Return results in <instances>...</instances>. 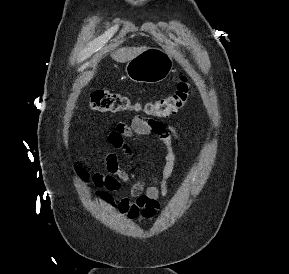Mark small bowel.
Here are the masks:
<instances>
[{
    "label": "small bowel",
    "instance_id": "small-bowel-1",
    "mask_svg": "<svg viewBox=\"0 0 289 274\" xmlns=\"http://www.w3.org/2000/svg\"><path fill=\"white\" fill-rule=\"evenodd\" d=\"M178 129L162 122L135 116L130 123L118 122L116 128L108 133V143L127 156L132 157L133 148L129 140L136 141L140 136H155L165 146L164 165L159 177L154 178L150 184L136 181L124 190L123 197L119 200V213L129 219L142 221L151 219L160 208L159 199L168 194L167 181L171 177L176 163L173 145L181 148ZM107 173H95L93 183L109 192L122 189L123 184L133 180V174L125 170L119 162L118 156L113 152L105 154Z\"/></svg>",
    "mask_w": 289,
    "mask_h": 274
}]
</instances>
